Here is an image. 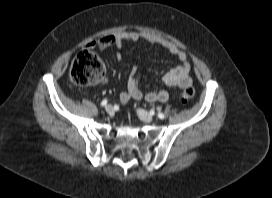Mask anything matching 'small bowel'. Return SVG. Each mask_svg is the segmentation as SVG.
<instances>
[{
  "label": "small bowel",
  "instance_id": "small-bowel-1",
  "mask_svg": "<svg viewBox=\"0 0 272 198\" xmlns=\"http://www.w3.org/2000/svg\"><path fill=\"white\" fill-rule=\"evenodd\" d=\"M139 39H143L151 44H157L163 47L167 52L178 59L180 64L162 76V81L165 85L178 88L191 87L192 80L189 75L190 65L186 54L174 43L160 36L138 31H122L107 35L99 40L92 41L88 44V48L105 49L109 46L121 48L125 41L134 42ZM116 58L120 61L123 56L121 54H117ZM119 98L122 104H127L131 99L141 100L142 98H145L148 102H166L169 99V94L165 90H153L143 95L139 88L137 68L133 66L127 79V90L121 92Z\"/></svg>",
  "mask_w": 272,
  "mask_h": 198
}]
</instances>
